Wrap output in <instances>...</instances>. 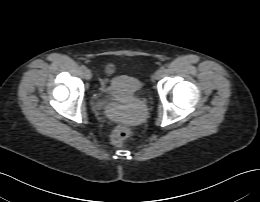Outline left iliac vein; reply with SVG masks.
I'll list each match as a JSON object with an SVG mask.
<instances>
[{"mask_svg":"<svg viewBox=\"0 0 260 202\" xmlns=\"http://www.w3.org/2000/svg\"><path fill=\"white\" fill-rule=\"evenodd\" d=\"M162 74H163V72H162L161 70H157V71L155 72L154 78H155L156 80H159V79L162 77Z\"/></svg>","mask_w":260,"mask_h":202,"instance_id":"4c4485c4","label":"left iliac vein"}]
</instances>
